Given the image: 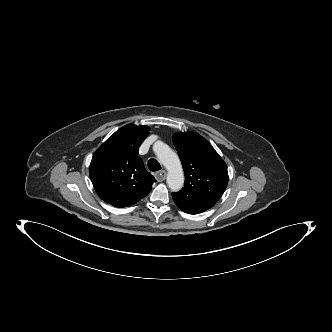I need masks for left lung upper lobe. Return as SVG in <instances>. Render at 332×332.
<instances>
[{
	"label": "left lung upper lobe",
	"mask_w": 332,
	"mask_h": 332,
	"mask_svg": "<svg viewBox=\"0 0 332 332\" xmlns=\"http://www.w3.org/2000/svg\"><path fill=\"white\" fill-rule=\"evenodd\" d=\"M173 143L185 172L184 187L172 193L174 202L197 213L212 208L228 184L226 163L199 134L176 133Z\"/></svg>",
	"instance_id": "left-lung-upper-lobe-1"
}]
</instances>
